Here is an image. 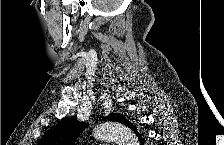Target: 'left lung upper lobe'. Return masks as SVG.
<instances>
[{"mask_svg": "<svg viewBox=\"0 0 224 145\" xmlns=\"http://www.w3.org/2000/svg\"><path fill=\"white\" fill-rule=\"evenodd\" d=\"M119 121L129 126L132 124L123 116L110 114L105 119ZM87 124L79 122L76 119H64L53 126L41 138L38 145H74L78 135L86 128Z\"/></svg>", "mask_w": 224, "mask_h": 145, "instance_id": "obj_1", "label": "left lung upper lobe"}]
</instances>
